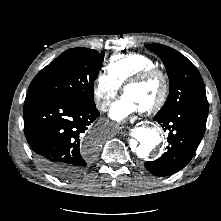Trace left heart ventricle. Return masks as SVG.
<instances>
[{
  "label": "left heart ventricle",
  "mask_w": 221,
  "mask_h": 221,
  "mask_svg": "<svg viewBox=\"0 0 221 221\" xmlns=\"http://www.w3.org/2000/svg\"><path fill=\"white\" fill-rule=\"evenodd\" d=\"M160 92V82L158 80H151L128 87L124 94L136 102L141 110L154 103L159 97Z\"/></svg>",
  "instance_id": "obj_1"
}]
</instances>
